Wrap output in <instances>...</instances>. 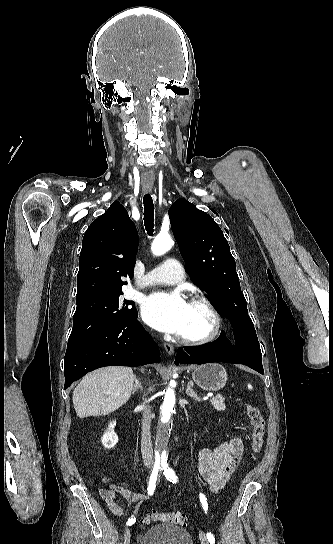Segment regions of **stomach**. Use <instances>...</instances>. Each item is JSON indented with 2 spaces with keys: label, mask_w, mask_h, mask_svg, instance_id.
<instances>
[{
  "label": "stomach",
  "mask_w": 333,
  "mask_h": 544,
  "mask_svg": "<svg viewBox=\"0 0 333 544\" xmlns=\"http://www.w3.org/2000/svg\"><path fill=\"white\" fill-rule=\"evenodd\" d=\"M192 378L202 389L218 391L225 386L227 373L225 368L218 363H206L194 369Z\"/></svg>",
  "instance_id": "obj_1"
}]
</instances>
